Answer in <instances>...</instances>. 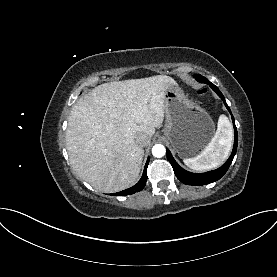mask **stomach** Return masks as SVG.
I'll list each match as a JSON object with an SVG mask.
<instances>
[{
    "instance_id": "stomach-1",
    "label": "stomach",
    "mask_w": 277,
    "mask_h": 277,
    "mask_svg": "<svg viewBox=\"0 0 277 277\" xmlns=\"http://www.w3.org/2000/svg\"><path fill=\"white\" fill-rule=\"evenodd\" d=\"M166 123L163 133L181 158L199 155L215 135V124L198 104L173 85L164 98Z\"/></svg>"
}]
</instances>
